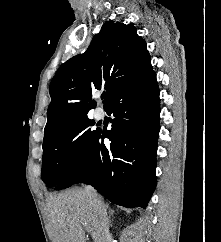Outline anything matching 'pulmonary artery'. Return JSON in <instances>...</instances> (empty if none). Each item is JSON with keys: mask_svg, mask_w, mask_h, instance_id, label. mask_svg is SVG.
<instances>
[{"mask_svg": "<svg viewBox=\"0 0 221 242\" xmlns=\"http://www.w3.org/2000/svg\"><path fill=\"white\" fill-rule=\"evenodd\" d=\"M104 117V111L101 109V108H97L96 110H95V118L97 119V120H100V119H102Z\"/></svg>", "mask_w": 221, "mask_h": 242, "instance_id": "e3ab8cb5", "label": "pulmonary artery"}]
</instances>
